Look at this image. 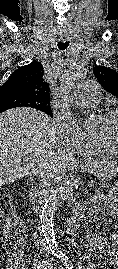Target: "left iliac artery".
Instances as JSON below:
<instances>
[{
  "label": "left iliac artery",
  "mask_w": 118,
  "mask_h": 269,
  "mask_svg": "<svg viewBox=\"0 0 118 269\" xmlns=\"http://www.w3.org/2000/svg\"><path fill=\"white\" fill-rule=\"evenodd\" d=\"M58 258L60 259V261L62 262V264L65 266L66 269H73V263L69 260V258L65 254L60 253L58 255Z\"/></svg>",
  "instance_id": "left-iliac-artery-1"
}]
</instances>
